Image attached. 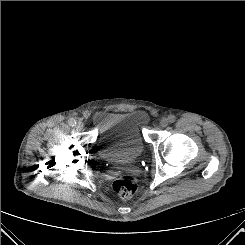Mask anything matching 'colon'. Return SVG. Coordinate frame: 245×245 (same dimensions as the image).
I'll use <instances>...</instances> for the list:
<instances>
[{
  "mask_svg": "<svg viewBox=\"0 0 245 245\" xmlns=\"http://www.w3.org/2000/svg\"><path fill=\"white\" fill-rule=\"evenodd\" d=\"M113 189L121 198L129 199L138 189L137 179L130 174L121 175L113 182Z\"/></svg>",
  "mask_w": 245,
  "mask_h": 245,
  "instance_id": "1",
  "label": "colon"
}]
</instances>
